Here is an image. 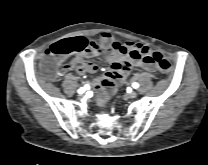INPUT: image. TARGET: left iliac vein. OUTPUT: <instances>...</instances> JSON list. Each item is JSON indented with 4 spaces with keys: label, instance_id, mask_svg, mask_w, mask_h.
I'll return each mask as SVG.
<instances>
[{
    "label": "left iliac vein",
    "instance_id": "left-iliac-vein-1",
    "mask_svg": "<svg viewBox=\"0 0 208 165\" xmlns=\"http://www.w3.org/2000/svg\"><path fill=\"white\" fill-rule=\"evenodd\" d=\"M127 98H136L137 97V92L132 91L126 94Z\"/></svg>",
    "mask_w": 208,
    "mask_h": 165
}]
</instances>
